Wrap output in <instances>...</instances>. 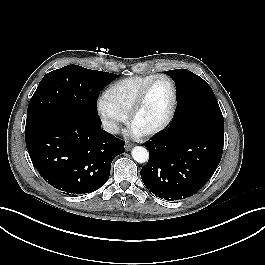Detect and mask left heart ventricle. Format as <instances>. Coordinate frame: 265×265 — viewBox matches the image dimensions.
<instances>
[{"mask_svg": "<svg viewBox=\"0 0 265 265\" xmlns=\"http://www.w3.org/2000/svg\"><path fill=\"white\" fill-rule=\"evenodd\" d=\"M172 102V88L165 79L157 80L149 90L146 101L134 119L133 128L140 132L159 125L166 117Z\"/></svg>", "mask_w": 265, "mask_h": 265, "instance_id": "1", "label": "left heart ventricle"}]
</instances>
